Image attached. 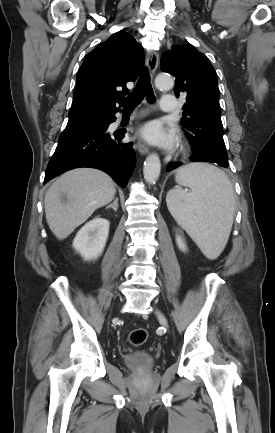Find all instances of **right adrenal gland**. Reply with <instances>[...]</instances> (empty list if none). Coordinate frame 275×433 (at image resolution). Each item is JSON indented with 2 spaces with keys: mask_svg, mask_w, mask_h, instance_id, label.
I'll list each match as a JSON object with an SVG mask.
<instances>
[{
  "mask_svg": "<svg viewBox=\"0 0 275 433\" xmlns=\"http://www.w3.org/2000/svg\"><path fill=\"white\" fill-rule=\"evenodd\" d=\"M112 208L114 211L118 209V198H115L114 202L106 207V209Z\"/></svg>",
  "mask_w": 275,
  "mask_h": 433,
  "instance_id": "right-adrenal-gland-1",
  "label": "right adrenal gland"
}]
</instances>
